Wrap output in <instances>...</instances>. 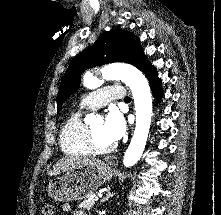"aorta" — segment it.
<instances>
[{"instance_id":"762f6f07","label":"aorta","mask_w":221,"mask_h":215,"mask_svg":"<svg viewBox=\"0 0 221 215\" xmlns=\"http://www.w3.org/2000/svg\"><path fill=\"white\" fill-rule=\"evenodd\" d=\"M105 80H121L132 91L135 104L136 123L131 142L125 152L123 164L131 167L141 158L147 142L152 117V95L146 77L136 67L129 64L115 63L104 66L101 70ZM86 87H94L92 77L84 79ZM93 114L85 121H92Z\"/></svg>"}]
</instances>
